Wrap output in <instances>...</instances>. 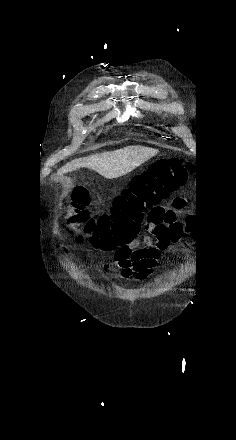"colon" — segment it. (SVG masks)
Masks as SVG:
<instances>
[{
    "instance_id": "1",
    "label": "colon",
    "mask_w": 236,
    "mask_h": 440,
    "mask_svg": "<svg viewBox=\"0 0 236 440\" xmlns=\"http://www.w3.org/2000/svg\"><path fill=\"white\" fill-rule=\"evenodd\" d=\"M188 173L179 159L162 160L134 177L114 201L110 213L97 218L87 211L89 196L85 188L76 187L66 204L68 224L84 225L83 234L94 247L111 249L132 241L146 214L183 185Z\"/></svg>"
}]
</instances>
